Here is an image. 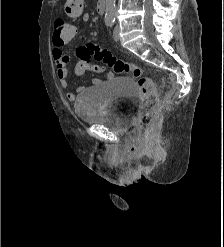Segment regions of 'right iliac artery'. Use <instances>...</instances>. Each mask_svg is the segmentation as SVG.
<instances>
[{"label": "right iliac artery", "instance_id": "right-iliac-artery-1", "mask_svg": "<svg viewBox=\"0 0 224 247\" xmlns=\"http://www.w3.org/2000/svg\"><path fill=\"white\" fill-rule=\"evenodd\" d=\"M105 23H106V25H107L108 27H111V26L113 25V23H114V20L108 18V19L105 20Z\"/></svg>", "mask_w": 224, "mask_h": 247}]
</instances>
